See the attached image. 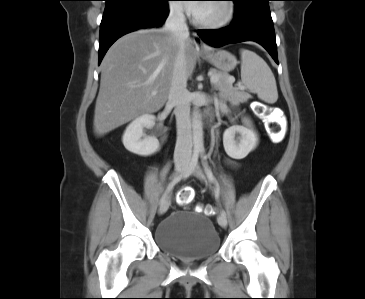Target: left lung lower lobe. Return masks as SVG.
<instances>
[{
    "instance_id": "1",
    "label": "left lung lower lobe",
    "mask_w": 365,
    "mask_h": 299,
    "mask_svg": "<svg viewBox=\"0 0 365 299\" xmlns=\"http://www.w3.org/2000/svg\"><path fill=\"white\" fill-rule=\"evenodd\" d=\"M232 1L235 12L231 25L216 30H198V35L215 47L243 41L258 42L278 64L275 31L268 4L271 0Z\"/></svg>"
}]
</instances>
